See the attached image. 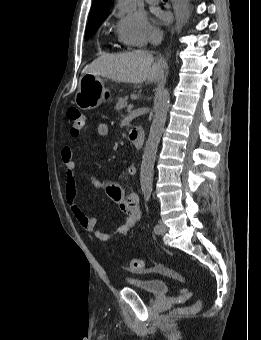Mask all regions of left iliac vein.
Segmentation results:
<instances>
[{
  "label": "left iliac vein",
  "instance_id": "1",
  "mask_svg": "<svg viewBox=\"0 0 261 340\" xmlns=\"http://www.w3.org/2000/svg\"><path fill=\"white\" fill-rule=\"evenodd\" d=\"M159 227V230L155 232L156 234L163 235L168 230L167 226L162 221L159 222Z\"/></svg>",
  "mask_w": 261,
  "mask_h": 340
}]
</instances>
